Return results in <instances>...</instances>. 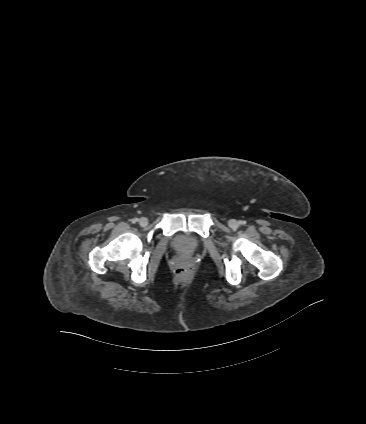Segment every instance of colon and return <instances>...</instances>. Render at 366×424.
<instances>
[{"instance_id": "obj_1", "label": "colon", "mask_w": 366, "mask_h": 424, "mask_svg": "<svg viewBox=\"0 0 366 424\" xmlns=\"http://www.w3.org/2000/svg\"><path fill=\"white\" fill-rule=\"evenodd\" d=\"M188 273V270L184 267H179L176 269V274L179 277H185Z\"/></svg>"}]
</instances>
